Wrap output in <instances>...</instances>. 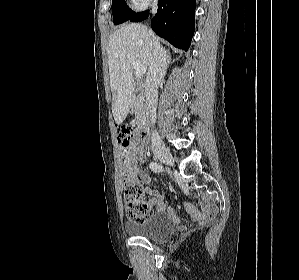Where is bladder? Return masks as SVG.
I'll use <instances>...</instances> for the list:
<instances>
[{"label":"bladder","mask_w":299,"mask_h":280,"mask_svg":"<svg viewBox=\"0 0 299 280\" xmlns=\"http://www.w3.org/2000/svg\"><path fill=\"white\" fill-rule=\"evenodd\" d=\"M126 232L134 237L160 241L169 237L174 230L172 218L165 213H155L143 222H130L125 225Z\"/></svg>","instance_id":"obj_1"}]
</instances>
